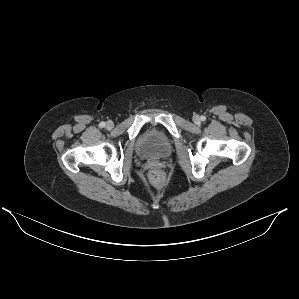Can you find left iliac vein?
Masks as SVG:
<instances>
[{"label":"left iliac vein","instance_id":"obj_1","mask_svg":"<svg viewBox=\"0 0 299 299\" xmlns=\"http://www.w3.org/2000/svg\"><path fill=\"white\" fill-rule=\"evenodd\" d=\"M193 120H194L195 123H198L199 122V117L198 116H194Z\"/></svg>","mask_w":299,"mask_h":299}]
</instances>
